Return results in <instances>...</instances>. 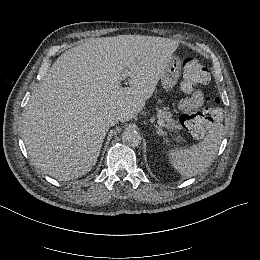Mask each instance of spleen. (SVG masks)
<instances>
[{"label":"spleen","mask_w":260,"mask_h":260,"mask_svg":"<svg viewBox=\"0 0 260 260\" xmlns=\"http://www.w3.org/2000/svg\"><path fill=\"white\" fill-rule=\"evenodd\" d=\"M225 134L221 123H213L207 135L197 145L188 148H173L169 150V161L184 177H193L204 172L214 160Z\"/></svg>","instance_id":"3e777b00"}]
</instances>
